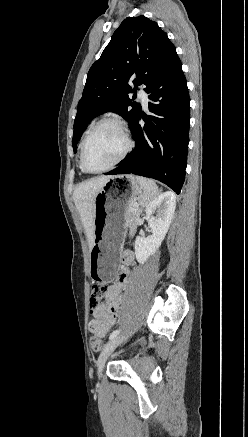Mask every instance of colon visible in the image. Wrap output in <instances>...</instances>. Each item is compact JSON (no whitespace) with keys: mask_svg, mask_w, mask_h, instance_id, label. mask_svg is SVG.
I'll return each instance as SVG.
<instances>
[{"mask_svg":"<svg viewBox=\"0 0 248 437\" xmlns=\"http://www.w3.org/2000/svg\"><path fill=\"white\" fill-rule=\"evenodd\" d=\"M107 290V286H96V284L92 286L90 298V303L92 307H95L101 302V300L105 297ZM90 346L92 350L98 352L103 346V341L99 336H92L90 339Z\"/></svg>","mask_w":248,"mask_h":437,"instance_id":"1","label":"colon"}]
</instances>
